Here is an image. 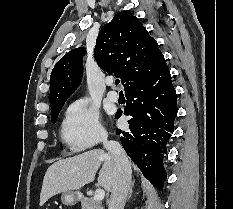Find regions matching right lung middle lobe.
Instances as JSON below:
<instances>
[{"label": "right lung middle lobe", "instance_id": "obj_1", "mask_svg": "<svg viewBox=\"0 0 233 209\" xmlns=\"http://www.w3.org/2000/svg\"><path fill=\"white\" fill-rule=\"evenodd\" d=\"M63 106H60L51 112V121L55 123Z\"/></svg>", "mask_w": 233, "mask_h": 209}]
</instances>
